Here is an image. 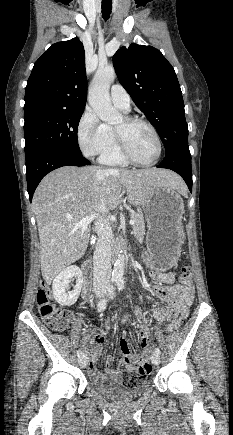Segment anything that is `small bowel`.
<instances>
[{
    "mask_svg": "<svg viewBox=\"0 0 233 435\" xmlns=\"http://www.w3.org/2000/svg\"><path fill=\"white\" fill-rule=\"evenodd\" d=\"M150 277L157 281L158 284H154L149 288L148 293L146 294V299L153 307L154 318L158 322H163L164 320L169 319L171 322L168 329H171L176 323L175 321L177 320L180 309L186 304H192L194 297L193 287H183L175 284V274L172 272L151 271ZM157 299L163 300L164 303L162 305H158L156 301ZM142 316V311L136 309L130 314L124 315L122 317V321L127 322L131 317ZM110 328V320L103 319L101 321V330L99 332H97L95 328H88L85 331L84 337L82 339V348L89 354L90 357V362L88 365L89 374L96 384H103L105 382L119 383L125 381L121 369L112 368L111 354H109L106 358L104 364V373L100 372L95 365L101 354V345L103 344L106 333L110 330ZM150 334L151 329L148 326L141 325L139 327L142 353L138 356V358L131 353L129 342L124 337L120 338L119 346L124 354V359L119 362V367L125 364L130 372H136L138 371L140 365L145 364V359L149 354L148 344ZM93 337L96 339L94 343H91L90 340ZM148 373V371H144L138 374V380H143Z\"/></svg>",
    "mask_w": 233,
    "mask_h": 435,
    "instance_id": "obj_1",
    "label": "small bowel"
}]
</instances>
